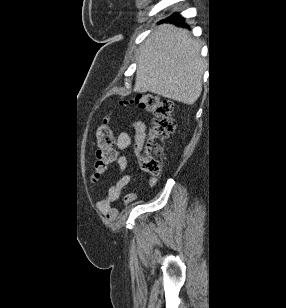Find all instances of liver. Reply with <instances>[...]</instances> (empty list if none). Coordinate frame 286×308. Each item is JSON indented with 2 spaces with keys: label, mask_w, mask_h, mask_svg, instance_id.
<instances>
[{
  "label": "liver",
  "mask_w": 286,
  "mask_h": 308,
  "mask_svg": "<svg viewBox=\"0 0 286 308\" xmlns=\"http://www.w3.org/2000/svg\"><path fill=\"white\" fill-rule=\"evenodd\" d=\"M200 49L189 31L159 25L140 49L133 90L192 105L202 92L205 65Z\"/></svg>",
  "instance_id": "6515ba94"
}]
</instances>
